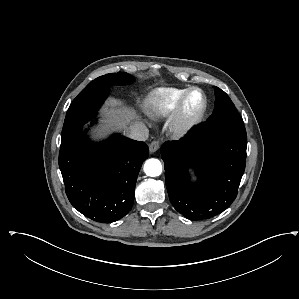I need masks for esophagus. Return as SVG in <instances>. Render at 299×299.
<instances>
[{"mask_svg":"<svg viewBox=\"0 0 299 299\" xmlns=\"http://www.w3.org/2000/svg\"><path fill=\"white\" fill-rule=\"evenodd\" d=\"M160 142L158 140H154L149 145V151L150 153H154L159 149Z\"/></svg>","mask_w":299,"mask_h":299,"instance_id":"1","label":"esophagus"}]
</instances>
